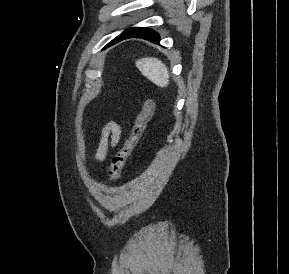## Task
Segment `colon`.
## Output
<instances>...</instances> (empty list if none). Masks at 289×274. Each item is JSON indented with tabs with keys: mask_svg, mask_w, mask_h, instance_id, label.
I'll return each instance as SVG.
<instances>
[{
	"mask_svg": "<svg viewBox=\"0 0 289 274\" xmlns=\"http://www.w3.org/2000/svg\"><path fill=\"white\" fill-rule=\"evenodd\" d=\"M155 110V101L152 98L145 100L143 108L139 113L132 128L129 138L123 147L112 158L108 169V178L111 183L116 182L128 163V158L139 142L148 122L151 120Z\"/></svg>",
	"mask_w": 289,
	"mask_h": 274,
	"instance_id": "5ec220e1",
	"label": "colon"
}]
</instances>
